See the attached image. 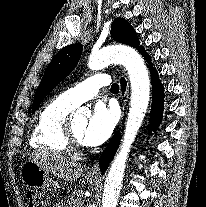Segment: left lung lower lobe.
<instances>
[{
	"label": "left lung lower lobe",
	"mask_w": 206,
	"mask_h": 207,
	"mask_svg": "<svg viewBox=\"0 0 206 207\" xmlns=\"http://www.w3.org/2000/svg\"><path fill=\"white\" fill-rule=\"evenodd\" d=\"M143 56L147 59V61L150 60V57L145 53V51L142 52ZM151 68V80H152V96H153V102H152V109H151V123L149 131L155 130L156 127L160 124L161 118H162V112H163V103H164V88L161 84V82L158 79V74L155 71V69L150 65ZM121 87L122 91H125L126 88V82L124 78L121 79ZM120 134L117 133L114 135L106 149L101 155L100 165H101V171L104 172L109 165V162L112 160V157L114 156L118 145L120 141Z\"/></svg>",
	"instance_id": "obj_1"
}]
</instances>
